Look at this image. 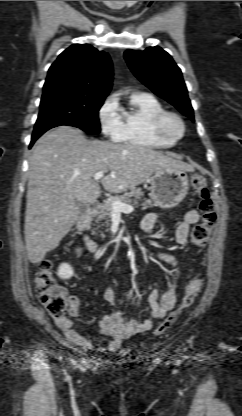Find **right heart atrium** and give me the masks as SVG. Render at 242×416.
Masks as SVG:
<instances>
[{
    "label": "right heart atrium",
    "instance_id": "right-heart-atrium-1",
    "mask_svg": "<svg viewBox=\"0 0 242 416\" xmlns=\"http://www.w3.org/2000/svg\"><path fill=\"white\" fill-rule=\"evenodd\" d=\"M101 131L107 137L116 139L123 126L120 106L114 95L108 96L98 110Z\"/></svg>",
    "mask_w": 242,
    "mask_h": 416
}]
</instances>
